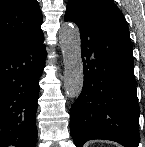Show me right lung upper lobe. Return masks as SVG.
<instances>
[{
    "label": "right lung upper lobe",
    "instance_id": "1",
    "mask_svg": "<svg viewBox=\"0 0 145 147\" xmlns=\"http://www.w3.org/2000/svg\"><path fill=\"white\" fill-rule=\"evenodd\" d=\"M37 0H0V51L42 34Z\"/></svg>",
    "mask_w": 145,
    "mask_h": 147
}]
</instances>
